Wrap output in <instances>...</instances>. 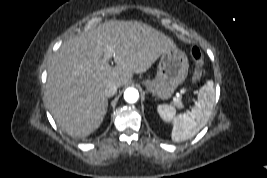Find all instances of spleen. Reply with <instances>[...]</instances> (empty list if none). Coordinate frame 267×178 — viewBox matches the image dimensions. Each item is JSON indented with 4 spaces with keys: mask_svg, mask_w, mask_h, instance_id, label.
I'll return each instance as SVG.
<instances>
[{
    "mask_svg": "<svg viewBox=\"0 0 267 178\" xmlns=\"http://www.w3.org/2000/svg\"><path fill=\"white\" fill-rule=\"evenodd\" d=\"M214 96V82L208 80L200 88L198 101L190 112L176 116V109L172 105L157 106L160 117L166 122H173L171 138L174 142L193 137L205 126L213 109Z\"/></svg>",
    "mask_w": 267,
    "mask_h": 178,
    "instance_id": "spleen-1",
    "label": "spleen"
}]
</instances>
